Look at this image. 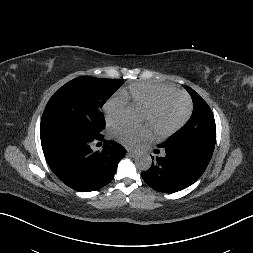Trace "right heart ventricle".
Instances as JSON below:
<instances>
[{
    "label": "right heart ventricle",
    "mask_w": 253,
    "mask_h": 253,
    "mask_svg": "<svg viewBox=\"0 0 253 253\" xmlns=\"http://www.w3.org/2000/svg\"><path fill=\"white\" fill-rule=\"evenodd\" d=\"M174 90L166 84L136 82L122 89L120 94L132 104L145 108L161 93Z\"/></svg>",
    "instance_id": "obj_1"
}]
</instances>
